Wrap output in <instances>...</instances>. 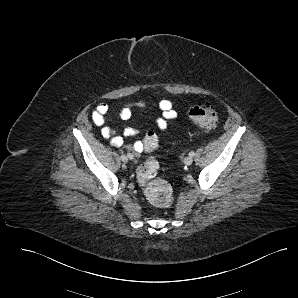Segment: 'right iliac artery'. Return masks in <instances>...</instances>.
<instances>
[{"mask_svg": "<svg viewBox=\"0 0 298 298\" xmlns=\"http://www.w3.org/2000/svg\"><path fill=\"white\" fill-rule=\"evenodd\" d=\"M127 156H128V158H130V159H133V158H134V156H133L131 153H128Z\"/></svg>", "mask_w": 298, "mask_h": 298, "instance_id": "1", "label": "right iliac artery"}]
</instances>
